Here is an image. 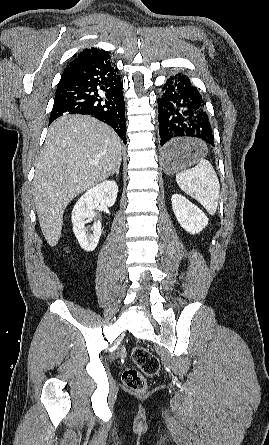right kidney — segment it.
<instances>
[{
	"label": "right kidney",
	"instance_id": "right-kidney-1",
	"mask_svg": "<svg viewBox=\"0 0 269 445\" xmlns=\"http://www.w3.org/2000/svg\"><path fill=\"white\" fill-rule=\"evenodd\" d=\"M118 193L115 181H104L85 192L75 204L72 211L73 232L85 251H93L101 237V223L95 221L91 227L92 233L86 228L87 220H92L97 207L107 208L114 205Z\"/></svg>",
	"mask_w": 269,
	"mask_h": 445
}]
</instances>
